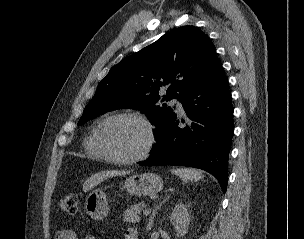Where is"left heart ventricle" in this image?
I'll use <instances>...</instances> for the list:
<instances>
[{"label":"left heart ventricle","mask_w":304,"mask_h":239,"mask_svg":"<svg viewBox=\"0 0 304 239\" xmlns=\"http://www.w3.org/2000/svg\"><path fill=\"white\" fill-rule=\"evenodd\" d=\"M103 145L120 157H132L139 154L146 145L145 126L131 118H120L109 122L101 132Z\"/></svg>","instance_id":"1"}]
</instances>
